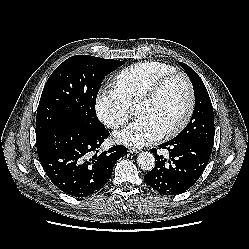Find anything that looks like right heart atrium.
Masks as SVG:
<instances>
[{
    "mask_svg": "<svg viewBox=\"0 0 249 249\" xmlns=\"http://www.w3.org/2000/svg\"><path fill=\"white\" fill-rule=\"evenodd\" d=\"M94 108L99 120L113 130L125 126L131 117L130 105L114 89H100Z\"/></svg>",
    "mask_w": 249,
    "mask_h": 249,
    "instance_id": "d8ad5b80",
    "label": "right heart atrium"
}]
</instances>
